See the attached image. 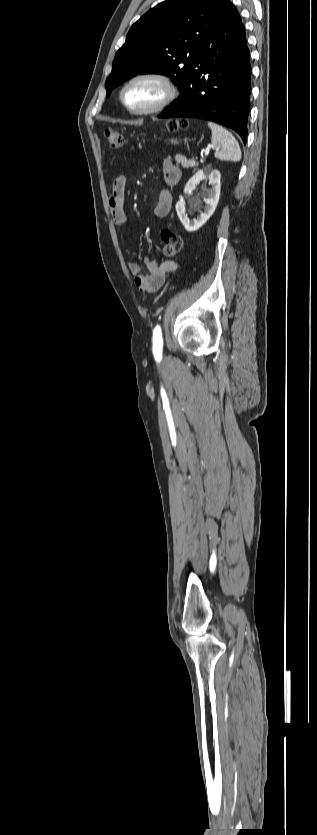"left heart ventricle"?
Wrapping results in <instances>:
<instances>
[{"mask_svg":"<svg viewBox=\"0 0 317 835\" xmlns=\"http://www.w3.org/2000/svg\"><path fill=\"white\" fill-rule=\"evenodd\" d=\"M160 96V88L150 81L136 82L124 93L127 104L135 109H144L151 106Z\"/></svg>","mask_w":317,"mask_h":835,"instance_id":"left-heart-ventricle-1","label":"left heart ventricle"}]
</instances>
